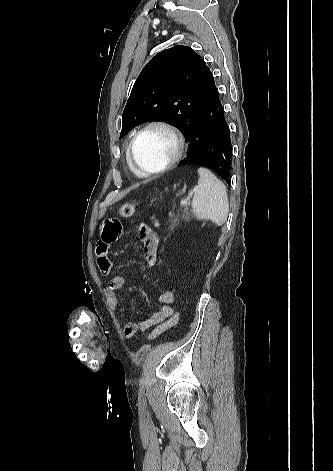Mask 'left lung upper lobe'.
I'll use <instances>...</instances> for the list:
<instances>
[{"label":"left lung upper lobe","instance_id":"obj_1","mask_svg":"<svg viewBox=\"0 0 333 471\" xmlns=\"http://www.w3.org/2000/svg\"><path fill=\"white\" fill-rule=\"evenodd\" d=\"M214 84L212 72L188 46L155 55L138 76L122 114L120 138L150 120H167L187 139Z\"/></svg>","mask_w":333,"mask_h":471}]
</instances>
